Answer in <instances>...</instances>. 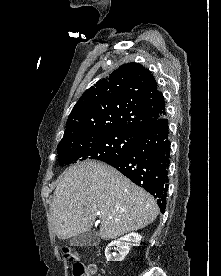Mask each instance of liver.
I'll return each mask as SVG.
<instances>
[{
	"label": "liver",
	"mask_w": 221,
	"mask_h": 276,
	"mask_svg": "<svg viewBox=\"0 0 221 276\" xmlns=\"http://www.w3.org/2000/svg\"><path fill=\"white\" fill-rule=\"evenodd\" d=\"M52 221L59 239L90 231L96 216L99 236L116 239L151 224L159 209L156 200L113 167L87 160L69 167L57 185Z\"/></svg>",
	"instance_id": "1"
}]
</instances>
